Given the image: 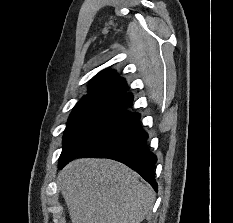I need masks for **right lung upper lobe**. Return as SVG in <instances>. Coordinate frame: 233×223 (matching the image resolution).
Returning <instances> with one entry per match:
<instances>
[{"mask_svg": "<svg viewBox=\"0 0 233 223\" xmlns=\"http://www.w3.org/2000/svg\"><path fill=\"white\" fill-rule=\"evenodd\" d=\"M90 94H121L128 90L125 79L118 76L113 70H105L90 82L88 86Z\"/></svg>", "mask_w": 233, "mask_h": 223, "instance_id": "obj_1", "label": "right lung upper lobe"}]
</instances>
